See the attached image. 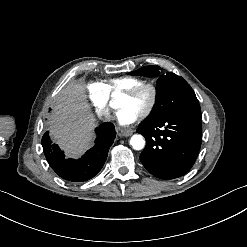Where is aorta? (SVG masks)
Instances as JSON below:
<instances>
[{"label":"aorta","instance_id":"1","mask_svg":"<svg viewBox=\"0 0 247 247\" xmlns=\"http://www.w3.org/2000/svg\"><path fill=\"white\" fill-rule=\"evenodd\" d=\"M130 145L133 147L135 150H141L145 146V140L142 135L140 134H135L131 137L130 139Z\"/></svg>","mask_w":247,"mask_h":247}]
</instances>
